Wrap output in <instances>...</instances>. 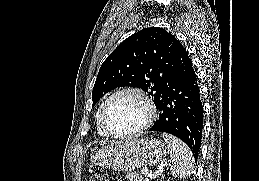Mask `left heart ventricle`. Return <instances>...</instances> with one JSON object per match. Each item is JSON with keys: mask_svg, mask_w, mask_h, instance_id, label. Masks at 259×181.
<instances>
[{"mask_svg": "<svg viewBox=\"0 0 259 181\" xmlns=\"http://www.w3.org/2000/svg\"><path fill=\"white\" fill-rule=\"evenodd\" d=\"M146 116V107L137 96L122 94L108 105L105 121L113 133L124 134L139 128Z\"/></svg>", "mask_w": 259, "mask_h": 181, "instance_id": "obj_1", "label": "left heart ventricle"}]
</instances>
